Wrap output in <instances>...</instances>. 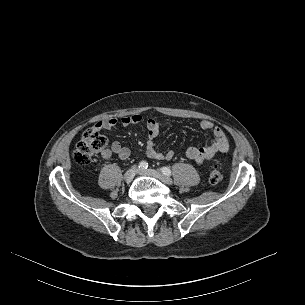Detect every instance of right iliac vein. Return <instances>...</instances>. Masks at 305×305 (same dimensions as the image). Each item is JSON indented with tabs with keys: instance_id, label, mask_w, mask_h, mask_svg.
I'll list each match as a JSON object with an SVG mask.
<instances>
[{
	"instance_id": "right-iliac-vein-1",
	"label": "right iliac vein",
	"mask_w": 305,
	"mask_h": 305,
	"mask_svg": "<svg viewBox=\"0 0 305 305\" xmlns=\"http://www.w3.org/2000/svg\"><path fill=\"white\" fill-rule=\"evenodd\" d=\"M138 172L137 167H132L124 173L123 179L125 182H131Z\"/></svg>"
}]
</instances>
